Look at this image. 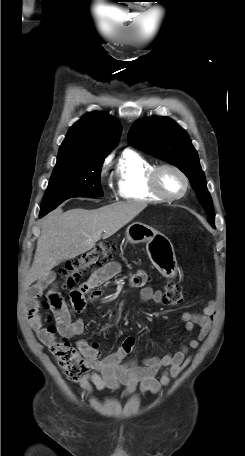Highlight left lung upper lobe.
<instances>
[{
  "mask_svg": "<svg viewBox=\"0 0 245 456\" xmlns=\"http://www.w3.org/2000/svg\"><path fill=\"white\" fill-rule=\"evenodd\" d=\"M128 141L132 146L178 167L190 180L199 202L208 213V222L215 227V214L205 175L184 129L167 117H150L133 124L128 132Z\"/></svg>",
  "mask_w": 245,
  "mask_h": 456,
  "instance_id": "left-lung-upper-lobe-1",
  "label": "left lung upper lobe"
}]
</instances>
